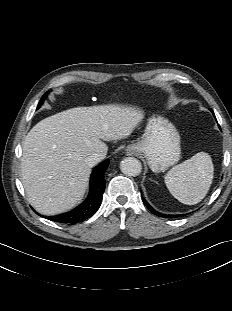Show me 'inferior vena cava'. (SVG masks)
Masks as SVG:
<instances>
[{
    "label": "inferior vena cava",
    "instance_id": "inferior-vena-cava-1",
    "mask_svg": "<svg viewBox=\"0 0 232 311\" xmlns=\"http://www.w3.org/2000/svg\"><path fill=\"white\" fill-rule=\"evenodd\" d=\"M105 157L106 155L103 153H94L86 158V163L88 164V166L93 167L94 165L102 161Z\"/></svg>",
    "mask_w": 232,
    "mask_h": 311
}]
</instances>
